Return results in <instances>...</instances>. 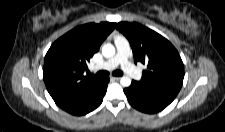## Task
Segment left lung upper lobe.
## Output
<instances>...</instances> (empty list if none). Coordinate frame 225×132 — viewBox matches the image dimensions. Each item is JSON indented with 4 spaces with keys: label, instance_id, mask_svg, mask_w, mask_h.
I'll use <instances>...</instances> for the list:
<instances>
[{
    "label": "left lung upper lobe",
    "instance_id": "1",
    "mask_svg": "<svg viewBox=\"0 0 225 132\" xmlns=\"http://www.w3.org/2000/svg\"><path fill=\"white\" fill-rule=\"evenodd\" d=\"M116 28L129 40L135 63L146 65L138 82L178 93L183 84L184 65L174 46L157 32L135 22H119Z\"/></svg>",
    "mask_w": 225,
    "mask_h": 132
}]
</instances>
